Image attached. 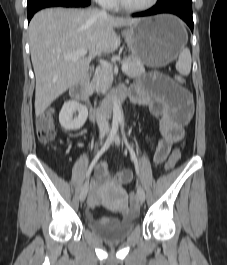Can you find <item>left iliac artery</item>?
Listing matches in <instances>:
<instances>
[{"instance_id": "1", "label": "left iliac artery", "mask_w": 227, "mask_h": 265, "mask_svg": "<svg viewBox=\"0 0 227 265\" xmlns=\"http://www.w3.org/2000/svg\"><path fill=\"white\" fill-rule=\"evenodd\" d=\"M121 130H122V134H123V137H124V141L126 143V146L128 147V150L130 152L131 158H132V160L134 162L136 174H137V176H139L138 160H137V157L135 155V152H134L133 148L129 145V143H128L127 139H126V136H125L124 130H123V124H121Z\"/></svg>"}]
</instances>
